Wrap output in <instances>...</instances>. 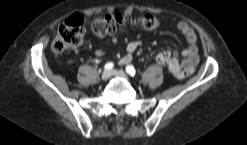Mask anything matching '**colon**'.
Wrapping results in <instances>:
<instances>
[{
  "label": "colon",
  "mask_w": 247,
  "mask_h": 145,
  "mask_svg": "<svg viewBox=\"0 0 247 145\" xmlns=\"http://www.w3.org/2000/svg\"><path fill=\"white\" fill-rule=\"evenodd\" d=\"M158 25L156 17L150 14L127 18L122 14L114 13L96 18L91 23L90 28L95 36L104 37L120 33L128 26H136L146 31H153ZM84 35L85 28L82 17L79 15L70 17L59 26L57 35L51 45L53 52L61 54L76 48L82 43ZM169 60L167 53H161L157 56V61L161 64L166 65ZM192 73H177L176 76L183 78Z\"/></svg>",
  "instance_id": "1"
}]
</instances>
